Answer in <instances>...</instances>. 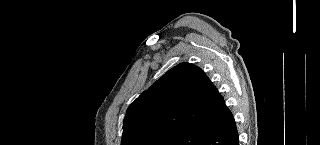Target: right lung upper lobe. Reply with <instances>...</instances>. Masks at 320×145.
<instances>
[{
  "instance_id": "obj_1",
  "label": "right lung upper lobe",
  "mask_w": 320,
  "mask_h": 145,
  "mask_svg": "<svg viewBox=\"0 0 320 145\" xmlns=\"http://www.w3.org/2000/svg\"><path fill=\"white\" fill-rule=\"evenodd\" d=\"M223 97L197 66L181 63L159 78L127 109L121 145L160 131H181L214 116Z\"/></svg>"
}]
</instances>
